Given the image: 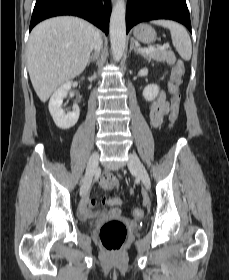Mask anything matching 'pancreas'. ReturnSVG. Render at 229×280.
I'll use <instances>...</instances> for the list:
<instances>
[{
	"label": "pancreas",
	"instance_id": "obj_1",
	"mask_svg": "<svg viewBox=\"0 0 229 280\" xmlns=\"http://www.w3.org/2000/svg\"><path fill=\"white\" fill-rule=\"evenodd\" d=\"M148 60L154 59L160 62H166L168 65H173L176 61L175 54L168 50H157L151 53H141Z\"/></svg>",
	"mask_w": 229,
	"mask_h": 280
}]
</instances>
